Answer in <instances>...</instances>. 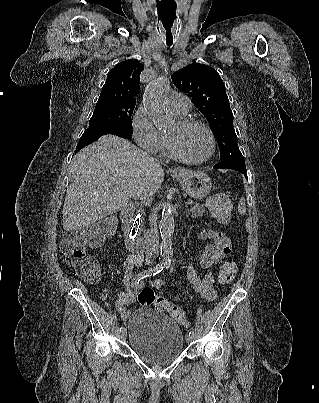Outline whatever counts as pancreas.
Instances as JSON below:
<instances>
[{
	"label": "pancreas",
	"instance_id": "obj_1",
	"mask_svg": "<svg viewBox=\"0 0 319 403\" xmlns=\"http://www.w3.org/2000/svg\"><path fill=\"white\" fill-rule=\"evenodd\" d=\"M187 213L190 214L192 218L201 217L205 213V207L200 204H196L193 207L188 208Z\"/></svg>",
	"mask_w": 319,
	"mask_h": 403
}]
</instances>
